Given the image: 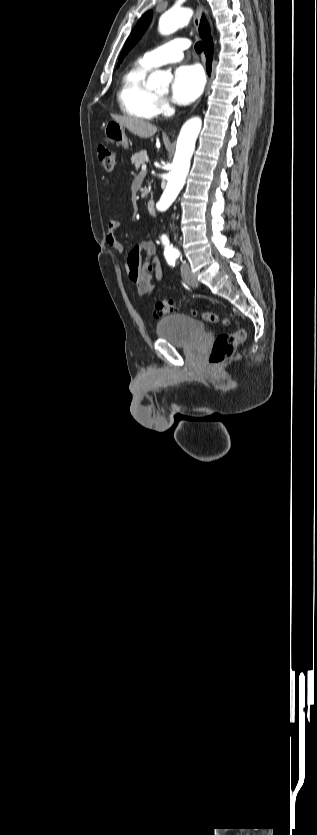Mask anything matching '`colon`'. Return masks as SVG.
Segmentation results:
<instances>
[{
  "label": "colon",
  "mask_w": 317,
  "mask_h": 835,
  "mask_svg": "<svg viewBox=\"0 0 317 835\" xmlns=\"http://www.w3.org/2000/svg\"><path fill=\"white\" fill-rule=\"evenodd\" d=\"M98 157L103 169L107 172H111L115 166V154L114 152L109 149L108 147L101 145L98 147ZM150 266L145 265L144 271L150 272ZM175 311V304L171 300L160 299L157 300L155 303L154 308V315L155 316H163L166 314L173 313ZM195 316L200 317L202 320L208 323H222L228 324V320L226 318L221 317L215 312H200L194 313ZM246 338V332L244 329H239L234 333H226V334H219L211 347L208 362L211 366H219L223 362H225L234 352L235 347L244 341Z\"/></svg>",
  "instance_id": "5ec220e1"
}]
</instances>
